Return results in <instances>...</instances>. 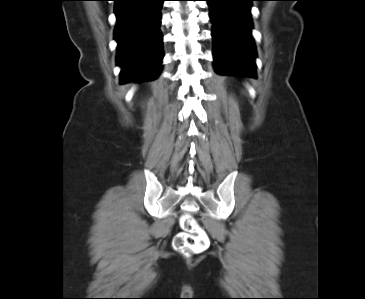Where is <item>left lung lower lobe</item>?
Returning a JSON list of instances; mask_svg holds the SVG:
<instances>
[{
  "instance_id": "left-lung-lower-lobe-1",
  "label": "left lung lower lobe",
  "mask_w": 365,
  "mask_h": 299,
  "mask_svg": "<svg viewBox=\"0 0 365 299\" xmlns=\"http://www.w3.org/2000/svg\"><path fill=\"white\" fill-rule=\"evenodd\" d=\"M213 22L214 60L218 74L256 77V56L250 30V7L255 0H206Z\"/></svg>"
}]
</instances>
